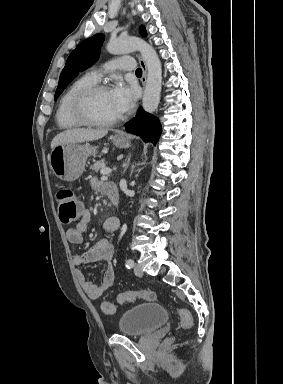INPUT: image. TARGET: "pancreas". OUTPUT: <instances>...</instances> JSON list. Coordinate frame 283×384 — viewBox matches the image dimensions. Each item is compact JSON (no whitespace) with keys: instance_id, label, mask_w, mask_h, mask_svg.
<instances>
[{"instance_id":"obj_1","label":"pancreas","mask_w":283,"mask_h":384,"mask_svg":"<svg viewBox=\"0 0 283 384\" xmlns=\"http://www.w3.org/2000/svg\"><path fill=\"white\" fill-rule=\"evenodd\" d=\"M100 168H105V160H100V162H95L93 166H90V170H94V172H98Z\"/></svg>"}]
</instances>
